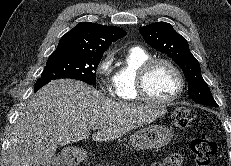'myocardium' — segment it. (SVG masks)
<instances>
[{"instance_id":"obj_1","label":"myocardium","mask_w":231,"mask_h":166,"mask_svg":"<svg viewBox=\"0 0 231 166\" xmlns=\"http://www.w3.org/2000/svg\"><path fill=\"white\" fill-rule=\"evenodd\" d=\"M158 64H165L169 66L174 71L178 80V87L176 91L167 99H156L152 97L147 90L146 82H147L148 74L150 70ZM184 87H185V78L183 72L178 67V65L170 59L162 58V57L151 58L146 62H144L138 70L137 79H136L137 95L139 99L147 103H151L159 106H167L180 97V95L184 90Z\"/></svg>"}]
</instances>
